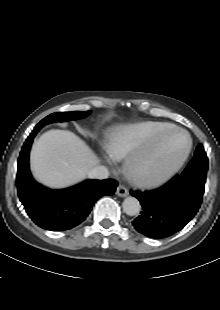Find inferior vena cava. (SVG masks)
<instances>
[{
	"mask_svg": "<svg viewBox=\"0 0 220 310\" xmlns=\"http://www.w3.org/2000/svg\"><path fill=\"white\" fill-rule=\"evenodd\" d=\"M87 175L91 179H106L109 176V171L105 166H96Z\"/></svg>",
	"mask_w": 220,
	"mask_h": 310,
	"instance_id": "obj_1",
	"label": "inferior vena cava"
}]
</instances>
